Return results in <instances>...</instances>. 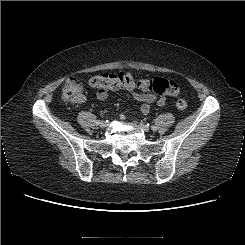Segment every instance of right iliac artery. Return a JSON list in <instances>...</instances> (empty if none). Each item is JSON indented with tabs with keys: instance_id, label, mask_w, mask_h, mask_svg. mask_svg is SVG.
Returning a JSON list of instances; mask_svg holds the SVG:
<instances>
[{
	"instance_id": "82829eb1",
	"label": "right iliac artery",
	"mask_w": 245,
	"mask_h": 245,
	"mask_svg": "<svg viewBox=\"0 0 245 245\" xmlns=\"http://www.w3.org/2000/svg\"><path fill=\"white\" fill-rule=\"evenodd\" d=\"M99 123H100V120H97V121H96V124H99Z\"/></svg>"
}]
</instances>
